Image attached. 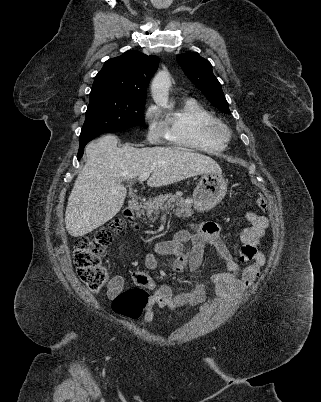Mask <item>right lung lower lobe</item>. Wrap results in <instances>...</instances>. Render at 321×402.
<instances>
[{"label": "right lung lower lobe", "mask_w": 321, "mask_h": 402, "mask_svg": "<svg viewBox=\"0 0 321 402\" xmlns=\"http://www.w3.org/2000/svg\"><path fill=\"white\" fill-rule=\"evenodd\" d=\"M97 137V136H96ZM93 138L95 137H90V136H86V137H80L79 139V151H78V155L77 158L80 159L83 155V151H84V147L86 146V144L91 141Z\"/></svg>", "instance_id": "1"}]
</instances>
